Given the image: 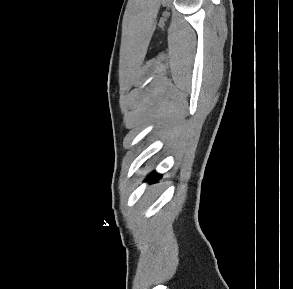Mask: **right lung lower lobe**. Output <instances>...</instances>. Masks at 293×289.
I'll return each instance as SVG.
<instances>
[{"instance_id":"1","label":"right lung lower lobe","mask_w":293,"mask_h":289,"mask_svg":"<svg viewBox=\"0 0 293 289\" xmlns=\"http://www.w3.org/2000/svg\"><path fill=\"white\" fill-rule=\"evenodd\" d=\"M150 177L160 178L161 176H158V174H155L154 172L150 174Z\"/></svg>"}]
</instances>
